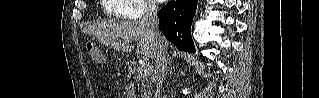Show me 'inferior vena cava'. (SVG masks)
Here are the masks:
<instances>
[{
  "mask_svg": "<svg viewBox=\"0 0 319 98\" xmlns=\"http://www.w3.org/2000/svg\"><path fill=\"white\" fill-rule=\"evenodd\" d=\"M142 23L146 26L148 32L154 37L156 41V53H155V71L152 76L153 81L156 83V91L154 98H161L163 87V81L167 72L168 64V52L166 46V40L159 30V20L157 16V7L155 3L148 0L145 3Z\"/></svg>",
  "mask_w": 319,
  "mask_h": 98,
  "instance_id": "602c4592",
  "label": "inferior vena cava"
}]
</instances>
